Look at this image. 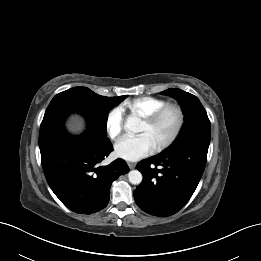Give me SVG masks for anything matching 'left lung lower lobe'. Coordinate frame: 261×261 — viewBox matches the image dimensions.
Masks as SVG:
<instances>
[{
  "mask_svg": "<svg viewBox=\"0 0 261 261\" xmlns=\"http://www.w3.org/2000/svg\"><path fill=\"white\" fill-rule=\"evenodd\" d=\"M209 144L193 142L167 149L137 164L143 175L134 191L136 204L148 214L177 213L191 198L203 174Z\"/></svg>",
  "mask_w": 261,
  "mask_h": 261,
  "instance_id": "0a47b994",
  "label": "left lung lower lobe"
}]
</instances>
